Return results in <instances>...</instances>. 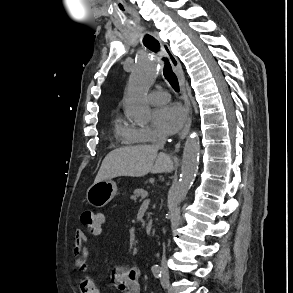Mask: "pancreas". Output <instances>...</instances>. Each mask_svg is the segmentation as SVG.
<instances>
[{"mask_svg": "<svg viewBox=\"0 0 293 293\" xmlns=\"http://www.w3.org/2000/svg\"><path fill=\"white\" fill-rule=\"evenodd\" d=\"M146 192V190H144L143 188L140 189H135L133 194L130 196V199L133 201H136L139 197H141L144 193Z\"/></svg>", "mask_w": 293, "mask_h": 293, "instance_id": "obj_1", "label": "pancreas"}]
</instances>
